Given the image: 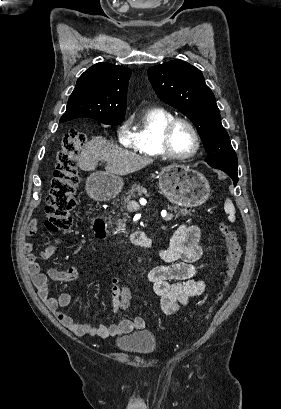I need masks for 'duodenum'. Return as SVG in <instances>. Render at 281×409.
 Masks as SVG:
<instances>
[{"instance_id":"410a0bca","label":"duodenum","mask_w":281,"mask_h":409,"mask_svg":"<svg viewBox=\"0 0 281 409\" xmlns=\"http://www.w3.org/2000/svg\"><path fill=\"white\" fill-rule=\"evenodd\" d=\"M93 230L97 236H103L106 233L107 225L103 218H97L93 222ZM130 241L133 245L146 247L148 245V239L140 232H134L130 234Z\"/></svg>"}]
</instances>
